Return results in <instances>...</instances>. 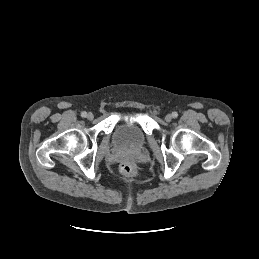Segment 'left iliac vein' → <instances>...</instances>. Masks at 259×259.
Returning <instances> with one entry per match:
<instances>
[{"mask_svg": "<svg viewBox=\"0 0 259 259\" xmlns=\"http://www.w3.org/2000/svg\"><path fill=\"white\" fill-rule=\"evenodd\" d=\"M165 120H166L167 122H170V121L172 120V115H171V114H167V115L165 116Z\"/></svg>", "mask_w": 259, "mask_h": 259, "instance_id": "4c4485c4", "label": "left iliac vein"}]
</instances>
